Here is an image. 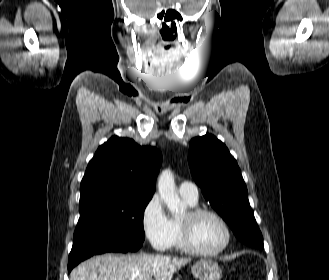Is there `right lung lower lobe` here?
I'll use <instances>...</instances> for the list:
<instances>
[{"mask_svg":"<svg viewBox=\"0 0 329 280\" xmlns=\"http://www.w3.org/2000/svg\"><path fill=\"white\" fill-rule=\"evenodd\" d=\"M128 251H130V250L120 248V247H115V246H100V247L94 248V249L88 251L87 253L83 254L78 259H76L71 265H68V272H70L81 261H83L93 255L102 254V253H106V252H123L124 253V252H128Z\"/></svg>","mask_w":329,"mask_h":280,"instance_id":"98d812e1","label":"right lung lower lobe"}]
</instances>
